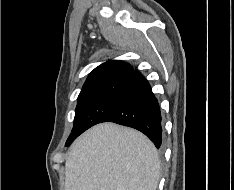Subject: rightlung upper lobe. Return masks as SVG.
I'll use <instances>...</instances> for the list:
<instances>
[{
    "label": "right lung upper lobe",
    "mask_w": 234,
    "mask_h": 190,
    "mask_svg": "<svg viewBox=\"0 0 234 190\" xmlns=\"http://www.w3.org/2000/svg\"><path fill=\"white\" fill-rule=\"evenodd\" d=\"M131 72H133V67L125 62L119 60L107 61L89 74L82 90L119 79H126Z\"/></svg>",
    "instance_id": "right-lung-upper-lobe-1"
}]
</instances>
